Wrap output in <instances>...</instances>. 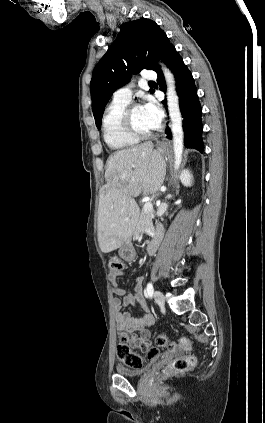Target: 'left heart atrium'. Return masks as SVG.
Listing matches in <instances>:
<instances>
[{
	"instance_id": "39dd6f15",
	"label": "left heart atrium",
	"mask_w": 265,
	"mask_h": 423,
	"mask_svg": "<svg viewBox=\"0 0 265 423\" xmlns=\"http://www.w3.org/2000/svg\"><path fill=\"white\" fill-rule=\"evenodd\" d=\"M142 110L151 124L156 128L162 119V111L154 100H148L143 106Z\"/></svg>"
}]
</instances>
